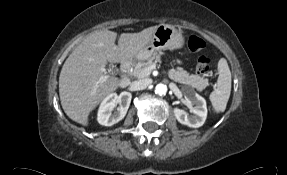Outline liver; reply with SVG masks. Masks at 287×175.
<instances>
[{
    "label": "liver",
    "mask_w": 287,
    "mask_h": 175,
    "mask_svg": "<svg viewBox=\"0 0 287 175\" xmlns=\"http://www.w3.org/2000/svg\"><path fill=\"white\" fill-rule=\"evenodd\" d=\"M157 26L139 33L109 30L89 34L66 59L59 76V95L64 112L72 120L88 125L90 112L120 85L105 66L134 58L151 40Z\"/></svg>",
    "instance_id": "obj_1"
}]
</instances>
